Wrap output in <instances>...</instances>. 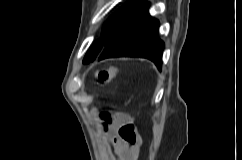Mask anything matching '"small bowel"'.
<instances>
[{
    "label": "small bowel",
    "mask_w": 242,
    "mask_h": 160,
    "mask_svg": "<svg viewBox=\"0 0 242 160\" xmlns=\"http://www.w3.org/2000/svg\"><path fill=\"white\" fill-rule=\"evenodd\" d=\"M128 126H132V124L126 116H117L109 128V130L115 131L112 142L120 160H137L142 140L135 131V139L133 141L127 140L124 133Z\"/></svg>",
    "instance_id": "small-bowel-1"
}]
</instances>
